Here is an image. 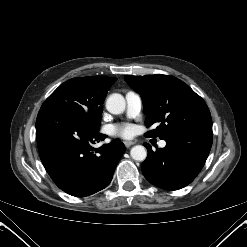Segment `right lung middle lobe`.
Instances as JSON below:
<instances>
[{
	"label": "right lung middle lobe",
	"mask_w": 247,
	"mask_h": 247,
	"mask_svg": "<svg viewBox=\"0 0 247 247\" xmlns=\"http://www.w3.org/2000/svg\"><path fill=\"white\" fill-rule=\"evenodd\" d=\"M105 94L85 77L73 78L61 84L41 108H56L69 112L95 128L100 127Z\"/></svg>",
	"instance_id": "dd1d6c3e"
}]
</instances>
